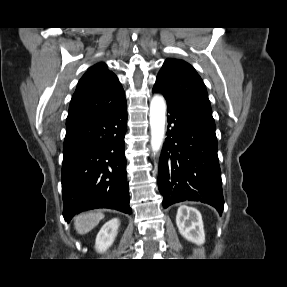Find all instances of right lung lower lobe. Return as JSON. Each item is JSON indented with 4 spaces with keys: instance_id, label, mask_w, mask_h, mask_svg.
<instances>
[{
    "instance_id": "obj_1",
    "label": "right lung lower lobe",
    "mask_w": 287,
    "mask_h": 287,
    "mask_svg": "<svg viewBox=\"0 0 287 287\" xmlns=\"http://www.w3.org/2000/svg\"><path fill=\"white\" fill-rule=\"evenodd\" d=\"M126 128V100L110 113L66 124L61 182L67 222L95 208L132 212L125 170Z\"/></svg>"
}]
</instances>
